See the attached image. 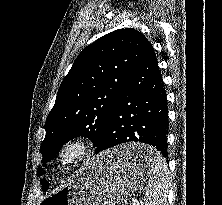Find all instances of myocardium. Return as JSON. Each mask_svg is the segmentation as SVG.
<instances>
[{
    "label": "myocardium",
    "instance_id": "f54148a6",
    "mask_svg": "<svg viewBox=\"0 0 222 205\" xmlns=\"http://www.w3.org/2000/svg\"><path fill=\"white\" fill-rule=\"evenodd\" d=\"M91 140L82 135L64 141L57 151V162L62 168H70L78 164L91 149Z\"/></svg>",
    "mask_w": 222,
    "mask_h": 205
}]
</instances>
